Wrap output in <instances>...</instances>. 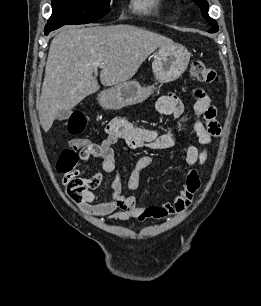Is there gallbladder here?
Here are the masks:
<instances>
[{"label":"gallbladder","mask_w":261,"mask_h":306,"mask_svg":"<svg viewBox=\"0 0 261 306\" xmlns=\"http://www.w3.org/2000/svg\"><path fill=\"white\" fill-rule=\"evenodd\" d=\"M71 110L69 111H65V112H62L59 116H58V119L59 120H65L68 118L69 114H70Z\"/></svg>","instance_id":"obj_1"}]
</instances>
